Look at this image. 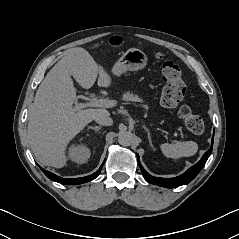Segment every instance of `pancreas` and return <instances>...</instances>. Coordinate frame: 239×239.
Returning a JSON list of instances; mask_svg holds the SVG:
<instances>
[{
  "label": "pancreas",
  "mask_w": 239,
  "mask_h": 239,
  "mask_svg": "<svg viewBox=\"0 0 239 239\" xmlns=\"http://www.w3.org/2000/svg\"><path fill=\"white\" fill-rule=\"evenodd\" d=\"M122 99L124 101L143 102V100L139 98V96L134 95L133 93H130V92L124 93L122 96Z\"/></svg>",
  "instance_id": "pancreas-1"
}]
</instances>
